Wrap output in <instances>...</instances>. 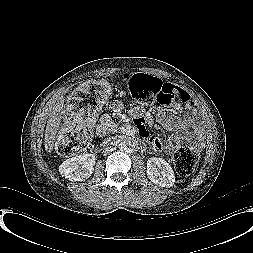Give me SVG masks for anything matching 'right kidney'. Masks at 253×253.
Wrapping results in <instances>:
<instances>
[{
	"label": "right kidney",
	"instance_id": "ca27d5eb",
	"mask_svg": "<svg viewBox=\"0 0 253 253\" xmlns=\"http://www.w3.org/2000/svg\"><path fill=\"white\" fill-rule=\"evenodd\" d=\"M94 154H81L67 159L59 166V173L69 181H84L94 171Z\"/></svg>",
	"mask_w": 253,
	"mask_h": 253
}]
</instances>
